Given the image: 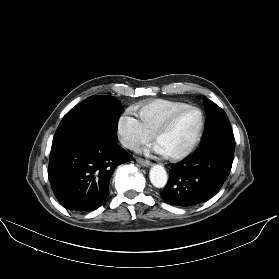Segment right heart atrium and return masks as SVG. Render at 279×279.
Instances as JSON below:
<instances>
[{
    "instance_id": "obj_1",
    "label": "right heart atrium",
    "mask_w": 279,
    "mask_h": 279,
    "mask_svg": "<svg viewBox=\"0 0 279 279\" xmlns=\"http://www.w3.org/2000/svg\"><path fill=\"white\" fill-rule=\"evenodd\" d=\"M116 132L121 144L132 151H138L152 139V135L146 131L141 121L129 110L119 115Z\"/></svg>"
}]
</instances>
